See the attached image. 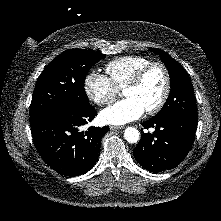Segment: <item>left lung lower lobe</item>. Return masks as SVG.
I'll use <instances>...</instances> for the list:
<instances>
[{
	"label": "left lung lower lobe",
	"instance_id": "obj_1",
	"mask_svg": "<svg viewBox=\"0 0 221 221\" xmlns=\"http://www.w3.org/2000/svg\"><path fill=\"white\" fill-rule=\"evenodd\" d=\"M197 123L198 117L184 114L154 116L143 122L145 129L154 127L155 131L142 134L133 150L135 159L154 173L176 167L193 145Z\"/></svg>",
	"mask_w": 221,
	"mask_h": 221
}]
</instances>
